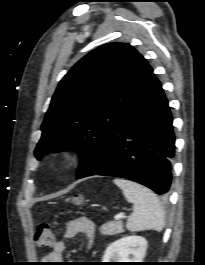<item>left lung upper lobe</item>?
<instances>
[{
    "label": "left lung upper lobe",
    "mask_w": 205,
    "mask_h": 265,
    "mask_svg": "<svg viewBox=\"0 0 205 265\" xmlns=\"http://www.w3.org/2000/svg\"><path fill=\"white\" fill-rule=\"evenodd\" d=\"M152 73L128 44L108 43L89 52L60 81L41 126L35 157L75 150L81 158L78 175L143 93Z\"/></svg>",
    "instance_id": "left-lung-upper-lobe-1"
}]
</instances>
